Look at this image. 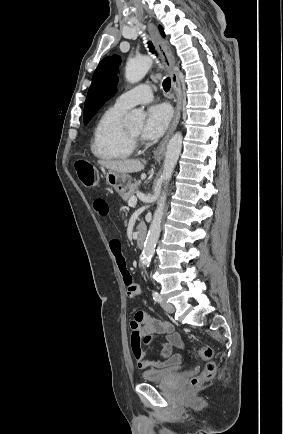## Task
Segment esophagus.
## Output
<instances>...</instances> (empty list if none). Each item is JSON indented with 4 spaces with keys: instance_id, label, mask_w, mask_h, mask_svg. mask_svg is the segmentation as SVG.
Segmentation results:
<instances>
[{
    "instance_id": "obj_1",
    "label": "esophagus",
    "mask_w": 283,
    "mask_h": 434,
    "mask_svg": "<svg viewBox=\"0 0 283 434\" xmlns=\"http://www.w3.org/2000/svg\"><path fill=\"white\" fill-rule=\"evenodd\" d=\"M148 30L149 33L155 43V46L164 62V65L171 77V83H172V89L174 91V93L176 94V107H175V115H174V119L173 122L166 134V136L164 137V139L161 141V143L158 145L157 149L154 152V157L157 160H160L165 152V148L167 145V142L169 140V138L171 137V135L173 134V132L175 131L179 119H180V115H181V88H180V82H179V78L178 75L174 69V60L173 57L171 55V53L168 51L167 49V45L165 43V41L163 40V38L161 37V35L159 34L156 26L152 23V22H148Z\"/></svg>"
}]
</instances>
